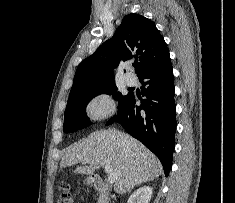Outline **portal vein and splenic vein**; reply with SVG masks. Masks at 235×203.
Instances as JSON below:
<instances>
[{
    "label": "portal vein and splenic vein",
    "instance_id": "portal-vein-and-splenic-vein-1",
    "mask_svg": "<svg viewBox=\"0 0 235 203\" xmlns=\"http://www.w3.org/2000/svg\"><path fill=\"white\" fill-rule=\"evenodd\" d=\"M106 173L108 174V182L110 184H113L116 182L118 175L117 173L113 172L109 166H106L105 168Z\"/></svg>",
    "mask_w": 235,
    "mask_h": 203
}]
</instances>
